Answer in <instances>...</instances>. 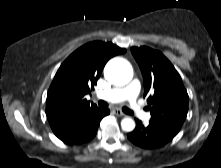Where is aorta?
I'll return each instance as SVG.
<instances>
[{"label": "aorta", "instance_id": "obj_1", "mask_svg": "<svg viewBox=\"0 0 221 168\" xmlns=\"http://www.w3.org/2000/svg\"><path fill=\"white\" fill-rule=\"evenodd\" d=\"M105 78L116 86L128 84L133 77V68L131 64L120 57L111 59L104 69ZM121 127L126 132H131L135 128V122L130 117L123 118Z\"/></svg>", "mask_w": 221, "mask_h": 168}]
</instances>
